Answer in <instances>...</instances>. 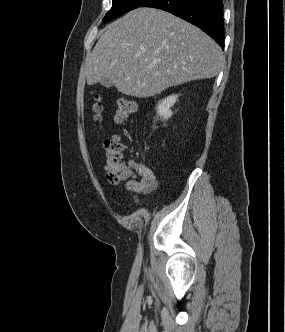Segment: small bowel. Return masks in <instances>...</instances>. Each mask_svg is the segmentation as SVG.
<instances>
[{
  "instance_id": "obj_1",
  "label": "small bowel",
  "mask_w": 285,
  "mask_h": 332,
  "mask_svg": "<svg viewBox=\"0 0 285 332\" xmlns=\"http://www.w3.org/2000/svg\"><path fill=\"white\" fill-rule=\"evenodd\" d=\"M134 172L140 177V179H130L125 185V189L131 194L136 203H139L137 194L150 193L159 184L154 172L146 165L139 163H131Z\"/></svg>"
}]
</instances>
